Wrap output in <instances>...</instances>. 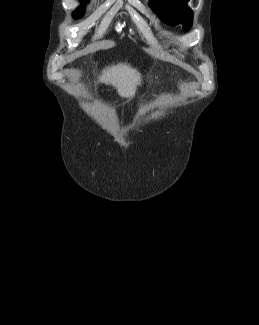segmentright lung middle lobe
Listing matches in <instances>:
<instances>
[{"mask_svg": "<svg viewBox=\"0 0 259 325\" xmlns=\"http://www.w3.org/2000/svg\"><path fill=\"white\" fill-rule=\"evenodd\" d=\"M81 2H87L88 0H80ZM74 17L75 18H79V17H81L82 15H83V13H82V9L81 8H79L77 11H75L74 12Z\"/></svg>", "mask_w": 259, "mask_h": 325, "instance_id": "right-lung-middle-lobe-1", "label": "right lung middle lobe"}]
</instances>
